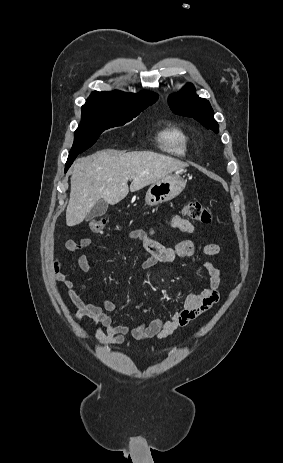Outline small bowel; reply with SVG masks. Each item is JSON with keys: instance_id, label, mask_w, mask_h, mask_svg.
<instances>
[{"instance_id": "1", "label": "small bowel", "mask_w": 283, "mask_h": 463, "mask_svg": "<svg viewBox=\"0 0 283 463\" xmlns=\"http://www.w3.org/2000/svg\"><path fill=\"white\" fill-rule=\"evenodd\" d=\"M161 224H166L188 234H193L196 231L195 226L190 221L178 215L164 220ZM154 234L155 228L137 229L125 237V240H138L148 253V257L141 262V267L144 269L151 268L158 263L171 262L175 258L195 260L196 256L211 257L220 252V247L217 244H196L191 240H183L173 247H166L154 238ZM91 244L90 238H82L79 241L70 240L65 245V256L83 251L78 257V265L84 272L91 269L88 260ZM51 265L56 280L64 285L67 296L74 305L75 320L79 322L82 318L92 319L99 327L97 331L99 340L107 345L122 344L130 338L137 341L166 338L209 310L220 298L219 288L222 273L210 261H204L202 268L208 276L206 288L199 293L189 294L182 306L176 309L168 319L152 316L148 322L142 321L129 330L127 324H116L108 314L116 310V304L113 301L104 299L102 306L85 302L76 292L73 281L63 272L64 261L54 257Z\"/></svg>"}]
</instances>
